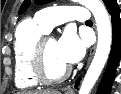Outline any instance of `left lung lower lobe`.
<instances>
[{"label": "left lung lower lobe", "instance_id": "1", "mask_svg": "<svg viewBox=\"0 0 121 94\" xmlns=\"http://www.w3.org/2000/svg\"><path fill=\"white\" fill-rule=\"evenodd\" d=\"M108 13L111 15L113 40L108 66L103 75L101 83L99 84L97 94H108L109 89L114 81L116 66L118 65L121 55V21L118 4L115 3L113 6H111L108 9ZM76 83H78V81H76Z\"/></svg>", "mask_w": 121, "mask_h": 94}]
</instances>
